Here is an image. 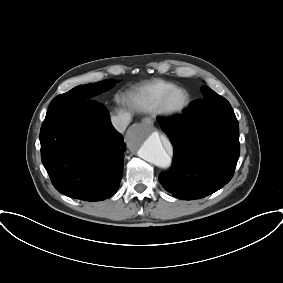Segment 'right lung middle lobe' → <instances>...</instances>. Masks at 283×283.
Returning <instances> with one entry per match:
<instances>
[{"label":"right lung middle lobe","instance_id":"dd1d6c3e","mask_svg":"<svg viewBox=\"0 0 283 283\" xmlns=\"http://www.w3.org/2000/svg\"><path fill=\"white\" fill-rule=\"evenodd\" d=\"M115 85L114 80H105L97 83L77 86L67 93L56 96L50 103L49 109L57 104L77 103L88 101L92 97L107 91Z\"/></svg>","mask_w":283,"mask_h":283}]
</instances>
